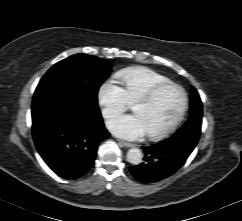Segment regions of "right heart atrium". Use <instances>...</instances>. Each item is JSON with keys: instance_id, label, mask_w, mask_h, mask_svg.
<instances>
[{"instance_id": "d8ad5b80", "label": "right heart atrium", "mask_w": 242, "mask_h": 221, "mask_svg": "<svg viewBox=\"0 0 242 221\" xmlns=\"http://www.w3.org/2000/svg\"><path fill=\"white\" fill-rule=\"evenodd\" d=\"M97 100L105 118H111L130 105L123 87L114 80L103 81L97 91Z\"/></svg>"}]
</instances>
